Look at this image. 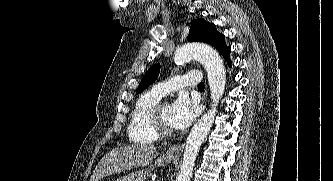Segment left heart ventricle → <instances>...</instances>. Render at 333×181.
I'll list each match as a JSON object with an SVG mask.
<instances>
[{"label": "left heart ventricle", "mask_w": 333, "mask_h": 181, "mask_svg": "<svg viewBox=\"0 0 333 181\" xmlns=\"http://www.w3.org/2000/svg\"><path fill=\"white\" fill-rule=\"evenodd\" d=\"M170 113H171V106L167 104L163 107L161 111V120L165 126L172 128L170 124Z\"/></svg>", "instance_id": "left-heart-ventricle-1"}]
</instances>
